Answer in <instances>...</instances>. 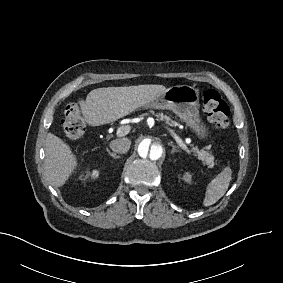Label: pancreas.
<instances>
[{"mask_svg": "<svg viewBox=\"0 0 283 283\" xmlns=\"http://www.w3.org/2000/svg\"><path fill=\"white\" fill-rule=\"evenodd\" d=\"M151 113L154 114L153 111H151ZM155 116L157 117V121H163L165 124L169 126L179 125L176 121L172 120L169 116L164 115L163 113H158ZM205 149H207V147L199 150V148L195 146V147H192L191 151L194 152L198 156V159L203 162V165H207L208 168H213L214 167V156L208 151H206Z\"/></svg>", "mask_w": 283, "mask_h": 283, "instance_id": "pancreas-1", "label": "pancreas"}]
</instances>
